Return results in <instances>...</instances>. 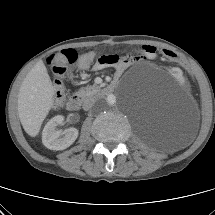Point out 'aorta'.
Here are the masks:
<instances>
[{"instance_id": "aorta-1", "label": "aorta", "mask_w": 215, "mask_h": 215, "mask_svg": "<svg viewBox=\"0 0 215 215\" xmlns=\"http://www.w3.org/2000/svg\"><path fill=\"white\" fill-rule=\"evenodd\" d=\"M116 103V97L113 94L107 95L101 102L100 104L104 108H110Z\"/></svg>"}]
</instances>
